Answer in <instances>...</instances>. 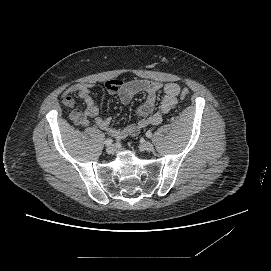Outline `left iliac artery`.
<instances>
[{
  "label": "left iliac artery",
  "instance_id": "44dca946",
  "mask_svg": "<svg viewBox=\"0 0 271 271\" xmlns=\"http://www.w3.org/2000/svg\"><path fill=\"white\" fill-rule=\"evenodd\" d=\"M146 136H147L148 138L152 137V132H151V131H147V132H146Z\"/></svg>",
  "mask_w": 271,
  "mask_h": 271
}]
</instances>
